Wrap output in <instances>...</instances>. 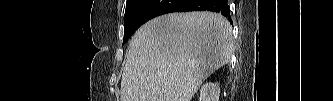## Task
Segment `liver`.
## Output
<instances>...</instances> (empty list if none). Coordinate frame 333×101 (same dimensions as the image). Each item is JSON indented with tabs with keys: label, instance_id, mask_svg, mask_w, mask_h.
Instances as JSON below:
<instances>
[{
	"label": "liver",
	"instance_id": "6515ba94",
	"mask_svg": "<svg viewBox=\"0 0 333 101\" xmlns=\"http://www.w3.org/2000/svg\"><path fill=\"white\" fill-rule=\"evenodd\" d=\"M232 26L221 14L170 13L133 35L121 101H191L200 85L230 61Z\"/></svg>",
	"mask_w": 333,
	"mask_h": 101
}]
</instances>
